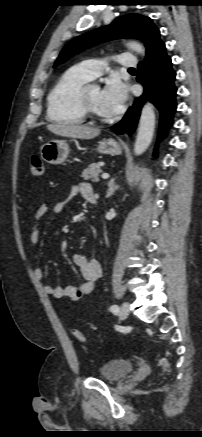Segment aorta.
Here are the masks:
<instances>
[{
	"instance_id": "1",
	"label": "aorta",
	"mask_w": 202,
	"mask_h": 437,
	"mask_svg": "<svg viewBox=\"0 0 202 437\" xmlns=\"http://www.w3.org/2000/svg\"><path fill=\"white\" fill-rule=\"evenodd\" d=\"M129 47L139 54L144 55V47L137 42H130ZM155 128V113L151 103L147 102L141 111L138 134L134 144V154L141 155L149 147Z\"/></svg>"
}]
</instances>
